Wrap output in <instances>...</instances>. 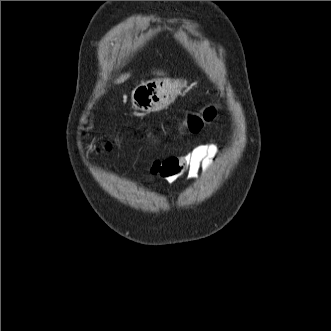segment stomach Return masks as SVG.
I'll list each match as a JSON object with an SVG mask.
<instances>
[{"mask_svg": "<svg viewBox=\"0 0 331 331\" xmlns=\"http://www.w3.org/2000/svg\"><path fill=\"white\" fill-rule=\"evenodd\" d=\"M183 86L182 81L171 79L141 82L132 91V105L147 113L159 111L174 100Z\"/></svg>", "mask_w": 331, "mask_h": 331, "instance_id": "stomach-1", "label": "stomach"}]
</instances>
